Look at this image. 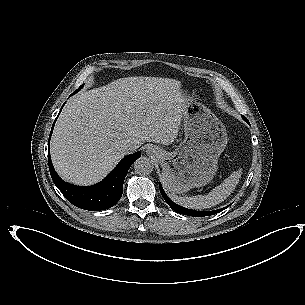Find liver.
<instances>
[{"mask_svg":"<svg viewBox=\"0 0 305 305\" xmlns=\"http://www.w3.org/2000/svg\"><path fill=\"white\" fill-rule=\"evenodd\" d=\"M146 86L139 78H122L67 102L50 148L54 168L63 180L78 185L99 182L128 154L127 141L169 145L175 140L183 110H156ZM159 87L178 94L181 84L165 79Z\"/></svg>","mask_w":305,"mask_h":305,"instance_id":"1","label":"liver"}]
</instances>
